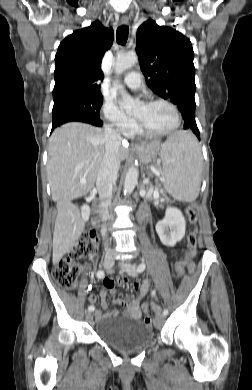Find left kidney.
Listing matches in <instances>:
<instances>
[{
	"label": "left kidney",
	"mask_w": 252,
	"mask_h": 390,
	"mask_svg": "<svg viewBox=\"0 0 252 390\" xmlns=\"http://www.w3.org/2000/svg\"><path fill=\"white\" fill-rule=\"evenodd\" d=\"M186 221L182 212L173 207H168L165 217L156 224V232L161 242L173 247L185 236Z\"/></svg>",
	"instance_id": "5707ae66"
}]
</instances>
